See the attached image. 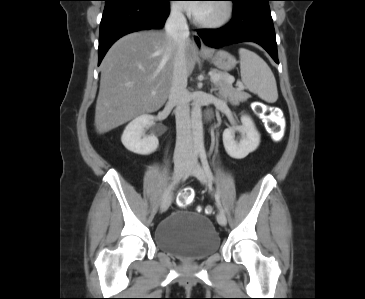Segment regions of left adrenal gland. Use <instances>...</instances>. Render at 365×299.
<instances>
[{
  "instance_id": "a2214340",
  "label": "left adrenal gland",
  "mask_w": 365,
  "mask_h": 299,
  "mask_svg": "<svg viewBox=\"0 0 365 299\" xmlns=\"http://www.w3.org/2000/svg\"><path fill=\"white\" fill-rule=\"evenodd\" d=\"M216 90H217V88H216V86H215L214 91H216Z\"/></svg>"
}]
</instances>
